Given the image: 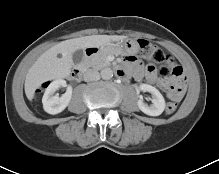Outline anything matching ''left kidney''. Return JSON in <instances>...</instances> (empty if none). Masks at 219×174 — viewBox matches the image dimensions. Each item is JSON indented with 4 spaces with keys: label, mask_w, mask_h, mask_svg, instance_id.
I'll list each match as a JSON object with an SVG mask.
<instances>
[{
    "label": "left kidney",
    "mask_w": 219,
    "mask_h": 174,
    "mask_svg": "<svg viewBox=\"0 0 219 174\" xmlns=\"http://www.w3.org/2000/svg\"><path fill=\"white\" fill-rule=\"evenodd\" d=\"M140 90L152 94V105L144 103L143 99L138 100L139 109L149 116H159L165 109V100L162 94L153 86L148 84H141Z\"/></svg>",
    "instance_id": "1"
}]
</instances>
